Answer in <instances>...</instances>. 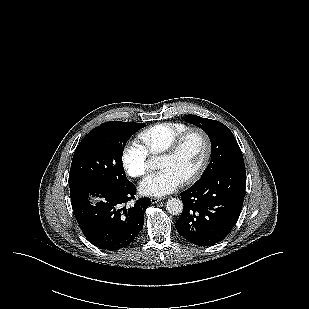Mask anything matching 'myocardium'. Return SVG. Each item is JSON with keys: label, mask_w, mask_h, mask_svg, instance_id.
<instances>
[{"label": "myocardium", "mask_w": 309, "mask_h": 309, "mask_svg": "<svg viewBox=\"0 0 309 309\" xmlns=\"http://www.w3.org/2000/svg\"><path fill=\"white\" fill-rule=\"evenodd\" d=\"M194 133L199 134L203 138L204 144H205V154H204V158L200 166L198 167V169L194 173H192L190 176H188L187 178L183 180L185 184H190V183L197 181L202 176V174L205 172L206 168L208 167L210 163V159L212 156V142H211V138L209 134L204 129L199 128V127L188 128L187 130L182 132L179 136H177L173 140V142L162 152L163 155L165 156L171 157V156L176 155L178 151L180 150V148L182 147L185 140L191 134H194Z\"/></svg>", "instance_id": "f54148a6"}]
</instances>
